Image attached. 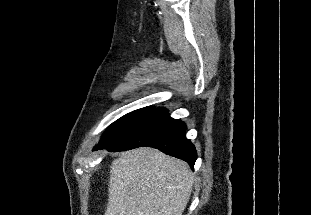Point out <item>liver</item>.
<instances>
[{"mask_svg": "<svg viewBox=\"0 0 311 215\" xmlns=\"http://www.w3.org/2000/svg\"><path fill=\"white\" fill-rule=\"evenodd\" d=\"M110 168L105 215L183 214L193 183L184 161L138 148L122 154Z\"/></svg>", "mask_w": 311, "mask_h": 215, "instance_id": "1", "label": "liver"}]
</instances>
